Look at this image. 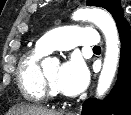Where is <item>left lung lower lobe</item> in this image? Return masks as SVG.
<instances>
[{
    "mask_svg": "<svg viewBox=\"0 0 131 115\" xmlns=\"http://www.w3.org/2000/svg\"><path fill=\"white\" fill-rule=\"evenodd\" d=\"M117 28L120 34L121 55L115 86L103 104H99L95 99L85 101L82 115H131L130 24L123 19Z\"/></svg>",
    "mask_w": 131,
    "mask_h": 115,
    "instance_id": "obj_1",
    "label": "left lung lower lobe"
}]
</instances>
